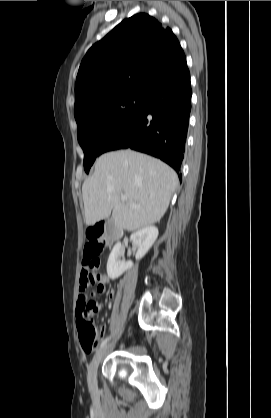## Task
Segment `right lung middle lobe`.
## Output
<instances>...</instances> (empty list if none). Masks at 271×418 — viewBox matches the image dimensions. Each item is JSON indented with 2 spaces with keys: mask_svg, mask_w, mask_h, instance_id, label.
Segmentation results:
<instances>
[{
  "mask_svg": "<svg viewBox=\"0 0 271 418\" xmlns=\"http://www.w3.org/2000/svg\"><path fill=\"white\" fill-rule=\"evenodd\" d=\"M148 98L134 93L117 95L101 104L75 115L78 141L84 151L86 173L94 163L106 137L134 115Z\"/></svg>",
  "mask_w": 271,
  "mask_h": 418,
  "instance_id": "obj_1",
  "label": "right lung middle lobe"
}]
</instances>
